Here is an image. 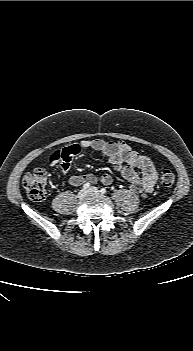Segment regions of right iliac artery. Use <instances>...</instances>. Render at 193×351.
<instances>
[{
	"instance_id": "82829eb1",
	"label": "right iliac artery",
	"mask_w": 193,
	"mask_h": 351,
	"mask_svg": "<svg viewBox=\"0 0 193 351\" xmlns=\"http://www.w3.org/2000/svg\"><path fill=\"white\" fill-rule=\"evenodd\" d=\"M90 187V183H85L84 185H83V188L84 189H88Z\"/></svg>"
}]
</instances>
